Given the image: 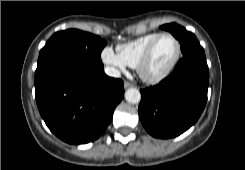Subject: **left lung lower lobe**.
Wrapping results in <instances>:
<instances>
[{"mask_svg":"<svg viewBox=\"0 0 245 170\" xmlns=\"http://www.w3.org/2000/svg\"><path fill=\"white\" fill-rule=\"evenodd\" d=\"M206 59L184 56L158 85L141 90L139 118L155 138L176 137L196 123L207 101Z\"/></svg>","mask_w":245,"mask_h":170,"instance_id":"1","label":"left lung lower lobe"}]
</instances>
